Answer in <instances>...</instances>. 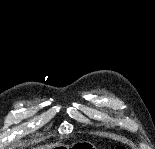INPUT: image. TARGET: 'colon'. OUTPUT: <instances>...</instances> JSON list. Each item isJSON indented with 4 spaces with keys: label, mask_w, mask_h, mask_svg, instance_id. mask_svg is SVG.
<instances>
[{
    "label": "colon",
    "mask_w": 155,
    "mask_h": 149,
    "mask_svg": "<svg viewBox=\"0 0 155 149\" xmlns=\"http://www.w3.org/2000/svg\"><path fill=\"white\" fill-rule=\"evenodd\" d=\"M118 149H125L123 146L118 147Z\"/></svg>",
    "instance_id": "colon-1"
}]
</instances>
